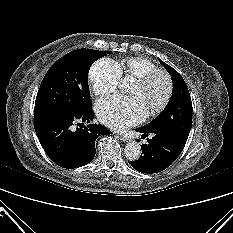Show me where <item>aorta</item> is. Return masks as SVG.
I'll return each mask as SVG.
<instances>
[{
    "mask_svg": "<svg viewBox=\"0 0 233 233\" xmlns=\"http://www.w3.org/2000/svg\"><path fill=\"white\" fill-rule=\"evenodd\" d=\"M122 89L125 88L124 82L120 85ZM124 154L127 159L135 161L138 160L140 155H141V147L138 142L136 141H131L126 144L125 149H124Z\"/></svg>",
    "mask_w": 233,
    "mask_h": 233,
    "instance_id": "obj_1",
    "label": "aorta"
}]
</instances>
